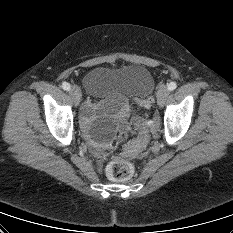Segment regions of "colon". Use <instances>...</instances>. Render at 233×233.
<instances>
[{
  "instance_id": "obj_1",
  "label": "colon",
  "mask_w": 233,
  "mask_h": 233,
  "mask_svg": "<svg viewBox=\"0 0 233 233\" xmlns=\"http://www.w3.org/2000/svg\"><path fill=\"white\" fill-rule=\"evenodd\" d=\"M151 104L152 99L147 98L141 101L140 106L144 109H149ZM135 125L137 130V137L126 148V151L129 154H139L144 150L149 141L147 120L144 117H139L136 120ZM106 173L108 178L112 181H125L133 175L134 166L128 161L117 159L108 164Z\"/></svg>"
}]
</instances>
